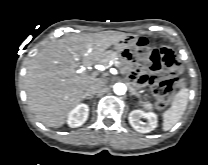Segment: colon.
Instances as JSON below:
<instances>
[{
  "mask_svg": "<svg viewBox=\"0 0 208 165\" xmlns=\"http://www.w3.org/2000/svg\"><path fill=\"white\" fill-rule=\"evenodd\" d=\"M135 51L150 70H159L161 67L168 69L166 76H152L150 85L157 96V106L166 108L176 89L181 85L179 73L181 64L173 51L167 47L154 48L149 45L147 39L139 38Z\"/></svg>",
  "mask_w": 208,
  "mask_h": 165,
  "instance_id": "1",
  "label": "colon"
}]
</instances>
